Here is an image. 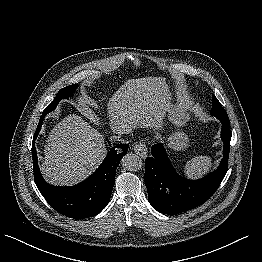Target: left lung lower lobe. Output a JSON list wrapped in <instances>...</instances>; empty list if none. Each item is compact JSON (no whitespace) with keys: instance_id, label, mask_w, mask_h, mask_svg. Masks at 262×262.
<instances>
[{"instance_id":"0a47b994","label":"left lung lower lobe","mask_w":262,"mask_h":262,"mask_svg":"<svg viewBox=\"0 0 262 262\" xmlns=\"http://www.w3.org/2000/svg\"><path fill=\"white\" fill-rule=\"evenodd\" d=\"M222 123L223 158L219 167L199 180L181 177L174 169L162 144L151 148L145 160L144 180L151 206L164 214H178L205 203L218 189L228 170L232 133L228 115L217 117Z\"/></svg>"}]
</instances>
